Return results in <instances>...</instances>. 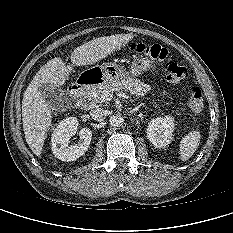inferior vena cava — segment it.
Masks as SVG:
<instances>
[{
    "label": "inferior vena cava",
    "mask_w": 233,
    "mask_h": 233,
    "mask_svg": "<svg viewBox=\"0 0 233 233\" xmlns=\"http://www.w3.org/2000/svg\"><path fill=\"white\" fill-rule=\"evenodd\" d=\"M90 116L95 121H103L107 116V112L102 108H95L90 111Z\"/></svg>",
    "instance_id": "obj_1"
}]
</instances>
